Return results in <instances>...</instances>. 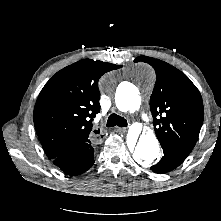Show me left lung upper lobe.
Returning a JSON list of instances; mask_svg holds the SVG:
<instances>
[{
  "label": "left lung upper lobe",
  "mask_w": 221,
  "mask_h": 221,
  "mask_svg": "<svg viewBox=\"0 0 221 221\" xmlns=\"http://www.w3.org/2000/svg\"><path fill=\"white\" fill-rule=\"evenodd\" d=\"M134 61L146 62L156 72L150 110L161 146H174L191 152L204 118L199 90L183 72L162 60L139 56Z\"/></svg>",
  "instance_id": "left-lung-upper-lobe-1"
}]
</instances>
